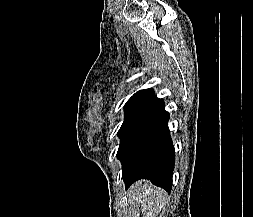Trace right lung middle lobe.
<instances>
[{
    "label": "right lung middle lobe",
    "instance_id": "obj_1",
    "mask_svg": "<svg viewBox=\"0 0 253 217\" xmlns=\"http://www.w3.org/2000/svg\"><path fill=\"white\" fill-rule=\"evenodd\" d=\"M150 105L151 103L148 102H131L125 104V120L118 132V136L121 140Z\"/></svg>",
    "mask_w": 253,
    "mask_h": 217
}]
</instances>
